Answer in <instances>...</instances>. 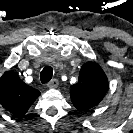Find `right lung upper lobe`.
<instances>
[{"instance_id": "obj_1", "label": "right lung upper lobe", "mask_w": 133, "mask_h": 133, "mask_svg": "<svg viewBox=\"0 0 133 133\" xmlns=\"http://www.w3.org/2000/svg\"><path fill=\"white\" fill-rule=\"evenodd\" d=\"M40 92L25 84L13 71L0 78V104L9 112L23 116Z\"/></svg>"}]
</instances>
